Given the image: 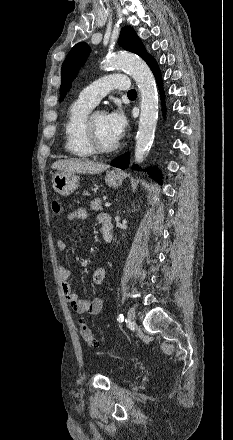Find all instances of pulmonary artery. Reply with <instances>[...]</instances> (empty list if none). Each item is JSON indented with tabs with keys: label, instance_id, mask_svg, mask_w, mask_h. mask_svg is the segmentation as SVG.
Listing matches in <instances>:
<instances>
[{
	"label": "pulmonary artery",
	"instance_id": "obj_1",
	"mask_svg": "<svg viewBox=\"0 0 233 440\" xmlns=\"http://www.w3.org/2000/svg\"><path fill=\"white\" fill-rule=\"evenodd\" d=\"M113 89L128 90V77L123 74H111L104 76L92 82L85 89H83L80 92L78 99L91 106H95L99 103L102 97Z\"/></svg>",
	"mask_w": 233,
	"mask_h": 440
}]
</instances>
